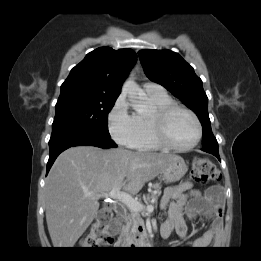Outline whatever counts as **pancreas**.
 <instances>
[{
    "label": "pancreas",
    "mask_w": 261,
    "mask_h": 261,
    "mask_svg": "<svg viewBox=\"0 0 261 261\" xmlns=\"http://www.w3.org/2000/svg\"><path fill=\"white\" fill-rule=\"evenodd\" d=\"M161 195V185L160 183H155L151 185L150 195L144 196V199L147 200L152 205L157 204V200ZM151 200H154L153 202ZM125 225L122 227L120 236L126 240H134L137 235L145 236L146 230L144 227V221L142 220L138 212L128 210L124 213ZM139 226L143 227V231L139 232Z\"/></svg>",
    "instance_id": "cf45deb5"
}]
</instances>
